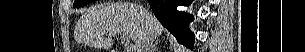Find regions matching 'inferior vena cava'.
<instances>
[{"label": "inferior vena cava", "mask_w": 305, "mask_h": 52, "mask_svg": "<svg viewBox=\"0 0 305 52\" xmlns=\"http://www.w3.org/2000/svg\"><path fill=\"white\" fill-rule=\"evenodd\" d=\"M143 13L147 14L145 9H143ZM153 41H154L153 35L150 33H145L143 38L136 47L137 52H149Z\"/></svg>", "instance_id": "602c4592"}]
</instances>
